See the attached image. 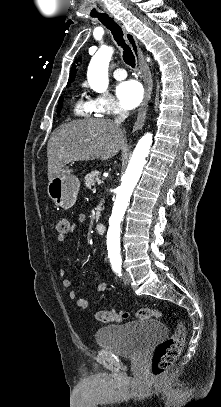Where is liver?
<instances>
[{
    "mask_svg": "<svg viewBox=\"0 0 221 407\" xmlns=\"http://www.w3.org/2000/svg\"><path fill=\"white\" fill-rule=\"evenodd\" d=\"M126 144L125 131L110 119H83L63 124L48 142V180L70 162L111 159Z\"/></svg>",
    "mask_w": 221,
    "mask_h": 407,
    "instance_id": "liver-1",
    "label": "liver"
}]
</instances>
